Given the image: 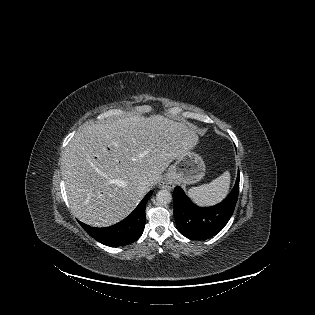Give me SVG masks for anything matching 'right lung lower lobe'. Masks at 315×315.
Segmentation results:
<instances>
[{"instance_id":"right-lung-lower-lobe-1","label":"right lung lower lobe","mask_w":315,"mask_h":315,"mask_svg":"<svg viewBox=\"0 0 315 315\" xmlns=\"http://www.w3.org/2000/svg\"><path fill=\"white\" fill-rule=\"evenodd\" d=\"M151 195L152 191L142 199L128 217L115 225L95 228L82 222L79 223L91 237L104 245L111 247L128 245L136 241L143 233L146 222L145 205Z\"/></svg>"}]
</instances>
